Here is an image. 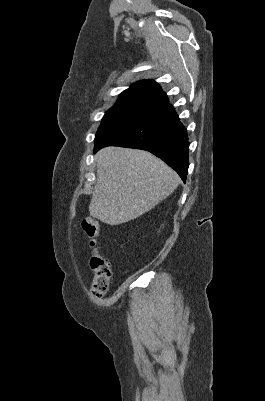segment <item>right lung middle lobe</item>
Returning a JSON list of instances; mask_svg holds the SVG:
<instances>
[{"label":"right lung middle lobe","mask_w":265,"mask_h":401,"mask_svg":"<svg viewBox=\"0 0 265 401\" xmlns=\"http://www.w3.org/2000/svg\"><path fill=\"white\" fill-rule=\"evenodd\" d=\"M161 109V106L146 103L114 105L101 121L95 137V146L110 140L118 132Z\"/></svg>","instance_id":"obj_1"}]
</instances>
